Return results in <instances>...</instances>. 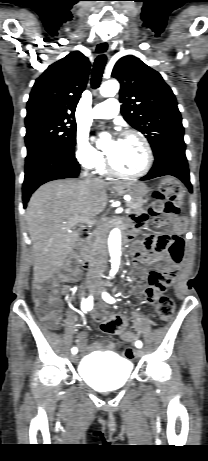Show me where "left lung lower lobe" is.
Wrapping results in <instances>:
<instances>
[{"instance_id": "obj_1", "label": "left lung lower lobe", "mask_w": 208, "mask_h": 461, "mask_svg": "<svg viewBox=\"0 0 208 461\" xmlns=\"http://www.w3.org/2000/svg\"><path fill=\"white\" fill-rule=\"evenodd\" d=\"M155 162L149 173L141 180H149L156 177L171 175L179 178L190 192V182L187 158L185 155V143H173L165 146L154 154Z\"/></svg>"}]
</instances>
